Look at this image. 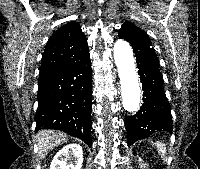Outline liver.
Here are the masks:
<instances>
[{
    "label": "liver",
    "instance_id": "6515ba94",
    "mask_svg": "<svg viewBox=\"0 0 200 169\" xmlns=\"http://www.w3.org/2000/svg\"><path fill=\"white\" fill-rule=\"evenodd\" d=\"M39 147V156L43 159L48 152L68 141L64 132L57 130H40L36 135Z\"/></svg>",
    "mask_w": 200,
    "mask_h": 169
}]
</instances>
